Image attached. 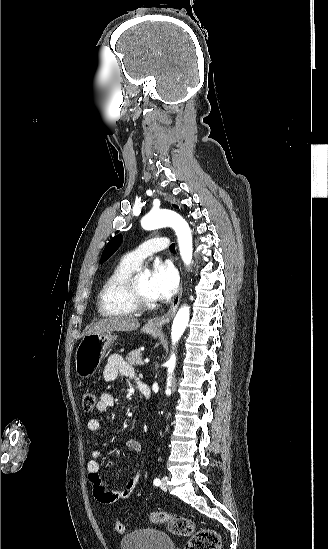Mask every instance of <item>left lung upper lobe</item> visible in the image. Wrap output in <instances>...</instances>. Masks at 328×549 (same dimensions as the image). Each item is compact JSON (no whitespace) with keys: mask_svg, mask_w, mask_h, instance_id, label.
I'll return each mask as SVG.
<instances>
[{"mask_svg":"<svg viewBox=\"0 0 328 549\" xmlns=\"http://www.w3.org/2000/svg\"><path fill=\"white\" fill-rule=\"evenodd\" d=\"M175 208H178V206L173 205ZM122 242V236L117 235L114 238H112L106 247L103 250L102 256H101V263L105 262L111 255L119 248L120 244Z\"/></svg>","mask_w":328,"mask_h":549,"instance_id":"5c2ea615","label":"left lung upper lobe"}]
</instances>
